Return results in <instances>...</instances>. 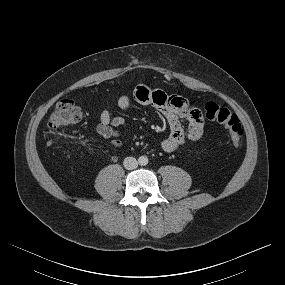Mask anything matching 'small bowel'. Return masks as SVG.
<instances>
[{
	"label": "small bowel",
	"instance_id": "obj_1",
	"mask_svg": "<svg viewBox=\"0 0 285 285\" xmlns=\"http://www.w3.org/2000/svg\"><path fill=\"white\" fill-rule=\"evenodd\" d=\"M135 101L142 105H149L159 110L169 125V135L160 141V148L172 153L178 150L186 140H198L203 135L204 118L201 110L191 105L186 99L177 95H167L162 90H153L146 85H138L133 92ZM132 99L129 95H121L117 100V106L121 110L130 108ZM187 122L184 128L180 122ZM126 127V120L121 116L112 114L110 107H106L100 115L97 125V133L110 139L115 148L121 147L119 129Z\"/></svg>",
	"mask_w": 285,
	"mask_h": 285
}]
</instances>
